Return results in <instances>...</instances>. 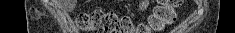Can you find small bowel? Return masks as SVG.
<instances>
[{
  "label": "small bowel",
  "mask_w": 235,
  "mask_h": 33,
  "mask_svg": "<svg viewBox=\"0 0 235 33\" xmlns=\"http://www.w3.org/2000/svg\"><path fill=\"white\" fill-rule=\"evenodd\" d=\"M141 7H142V8H145V7H146V3H142V4H141Z\"/></svg>",
  "instance_id": "1"
}]
</instances>
